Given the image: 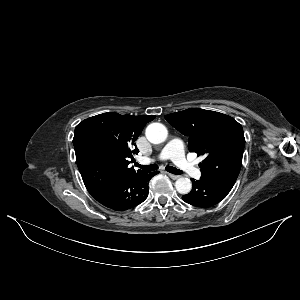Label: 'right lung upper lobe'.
<instances>
[{"label":"right lung upper lobe","mask_w":300,"mask_h":300,"mask_svg":"<svg viewBox=\"0 0 300 300\" xmlns=\"http://www.w3.org/2000/svg\"><path fill=\"white\" fill-rule=\"evenodd\" d=\"M155 115H119L103 113L79 123L75 128L73 144L81 135H89L97 152L108 165L107 183L137 172L129 166L130 159L139 150L135 141L147 122ZM106 183V184H107Z\"/></svg>","instance_id":"obj_1"}]
</instances>
